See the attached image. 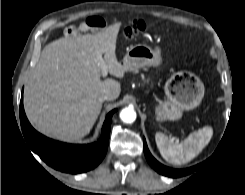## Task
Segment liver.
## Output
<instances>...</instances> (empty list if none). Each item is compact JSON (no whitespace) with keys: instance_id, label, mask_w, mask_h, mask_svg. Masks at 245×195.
I'll use <instances>...</instances> for the list:
<instances>
[{"instance_id":"6515ba94","label":"liver","mask_w":245,"mask_h":195,"mask_svg":"<svg viewBox=\"0 0 245 195\" xmlns=\"http://www.w3.org/2000/svg\"><path fill=\"white\" fill-rule=\"evenodd\" d=\"M120 24L92 35L65 37L44 47L24 90V108L41 133L66 142L86 136L102 109L99 97L121 92L120 83L101 80V66L118 78L127 67L116 57Z\"/></svg>"}]
</instances>
